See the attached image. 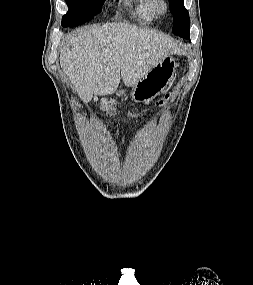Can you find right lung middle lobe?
I'll return each mask as SVG.
<instances>
[{"instance_id": "right-lung-middle-lobe-1", "label": "right lung middle lobe", "mask_w": 253, "mask_h": 285, "mask_svg": "<svg viewBox=\"0 0 253 285\" xmlns=\"http://www.w3.org/2000/svg\"><path fill=\"white\" fill-rule=\"evenodd\" d=\"M69 11L62 18V26H77L89 21L101 11L104 0H66Z\"/></svg>"}]
</instances>
